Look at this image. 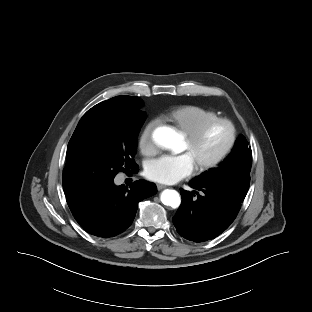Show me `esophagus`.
Here are the masks:
<instances>
[{
  "instance_id": "obj_1",
  "label": "esophagus",
  "mask_w": 312,
  "mask_h": 312,
  "mask_svg": "<svg viewBox=\"0 0 312 312\" xmlns=\"http://www.w3.org/2000/svg\"><path fill=\"white\" fill-rule=\"evenodd\" d=\"M156 186H157V189H158V190H162V189H165V188H166V186H165V185H162V184H157Z\"/></svg>"
}]
</instances>
